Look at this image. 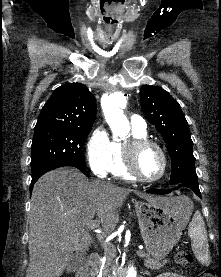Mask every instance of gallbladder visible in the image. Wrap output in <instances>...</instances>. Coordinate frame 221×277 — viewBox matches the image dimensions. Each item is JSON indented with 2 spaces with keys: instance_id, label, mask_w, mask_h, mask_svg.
<instances>
[{
  "instance_id": "obj_1",
  "label": "gallbladder",
  "mask_w": 221,
  "mask_h": 277,
  "mask_svg": "<svg viewBox=\"0 0 221 277\" xmlns=\"http://www.w3.org/2000/svg\"><path fill=\"white\" fill-rule=\"evenodd\" d=\"M87 260L88 255L85 252H75L67 263L65 270L67 272H76L86 264Z\"/></svg>"
}]
</instances>
